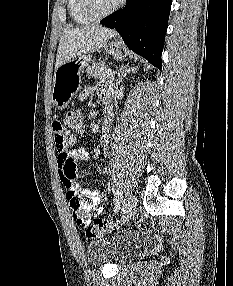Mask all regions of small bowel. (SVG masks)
<instances>
[{"label": "small bowel", "instance_id": "obj_1", "mask_svg": "<svg viewBox=\"0 0 233 286\" xmlns=\"http://www.w3.org/2000/svg\"><path fill=\"white\" fill-rule=\"evenodd\" d=\"M93 94H98L101 97L105 106V118L107 123H109L107 115L113 113L111 108L110 85L101 83L96 86H86L80 94V99L86 100ZM53 130L58 151L57 167L60 181L66 190V198L69 191H74L81 198V209L85 217L80 218L76 216L74 212L73 217L78 224L85 225L91 214L100 211V202L105 198L106 194L100 188L86 189L81 187L76 171L78 166L88 159V152L83 148L75 147L77 142L76 137L67 129L63 128L59 122L54 123ZM102 147L104 151L108 150L109 136L107 131L103 136ZM106 171L107 170H105V172Z\"/></svg>", "mask_w": 233, "mask_h": 286}]
</instances>
